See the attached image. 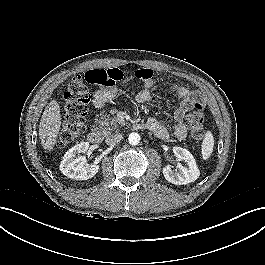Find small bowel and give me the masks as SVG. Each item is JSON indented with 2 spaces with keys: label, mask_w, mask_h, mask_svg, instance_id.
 <instances>
[{
  "label": "small bowel",
  "mask_w": 265,
  "mask_h": 265,
  "mask_svg": "<svg viewBox=\"0 0 265 265\" xmlns=\"http://www.w3.org/2000/svg\"><path fill=\"white\" fill-rule=\"evenodd\" d=\"M114 77L115 82L122 79V76L120 74H117ZM143 81V88L136 95V99L140 103L149 102L152 98L151 88L154 83L153 77L149 76ZM115 82L112 85L104 86L94 93L93 103L95 106H104L116 95L117 89L115 87ZM172 90L181 100L180 107L174 112L173 115L175 121L174 136L178 140H183L187 136V126L184 121L185 115L190 109L193 108L195 104H200V96L197 92L190 90L181 84H173ZM145 127L151 130L157 137L161 139H167L169 136L168 129L156 119H149L145 123Z\"/></svg>",
  "instance_id": "1"
}]
</instances>
